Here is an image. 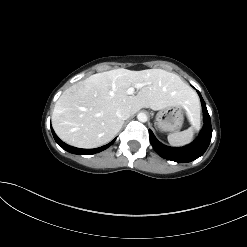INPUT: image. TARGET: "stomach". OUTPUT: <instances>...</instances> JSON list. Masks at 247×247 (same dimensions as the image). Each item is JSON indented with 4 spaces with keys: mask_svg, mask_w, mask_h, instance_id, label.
<instances>
[{
    "mask_svg": "<svg viewBox=\"0 0 247 247\" xmlns=\"http://www.w3.org/2000/svg\"><path fill=\"white\" fill-rule=\"evenodd\" d=\"M184 121L183 111L180 106H171L159 111L155 124L164 132L178 131Z\"/></svg>",
    "mask_w": 247,
    "mask_h": 247,
    "instance_id": "stomach-1",
    "label": "stomach"
}]
</instances>
